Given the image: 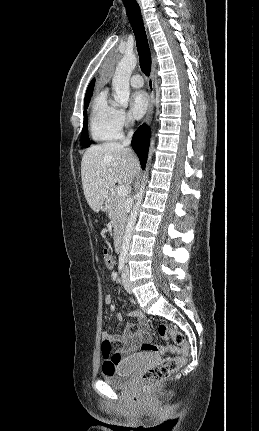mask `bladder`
I'll list each match as a JSON object with an SVG mask.
<instances>
[{"label": "bladder", "mask_w": 259, "mask_h": 431, "mask_svg": "<svg viewBox=\"0 0 259 431\" xmlns=\"http://www.w3.org/2000/svg\"><path fill=\"white\" fill-rule=\"evenodd\" d=\"M138 363L130 362L120 365L116 370L112 372H105L102 374V378L105 382L112 386L121 387L128 383L135 371L137 370Z\"/></svg>", "instance_id": "obj_1"}]
</instances>
